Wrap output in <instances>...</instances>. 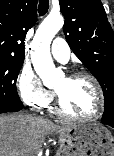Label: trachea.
I'll return each mask as SVG.
<instances>
[{"label": "trachea", "mask_w": 114, "mask_h": 156, "mask_svg": "<svg viewBox=\"0 0 114 156\" xmlns=\"http://www.w3.org/2000/svg\"><path fill=\"white\" fill-rule=\"evenodd\" d=\"M49 9V0H39L38 12L40 16L47 13Z\"/></svg>", "instance_id": "1"}]
</instances>
